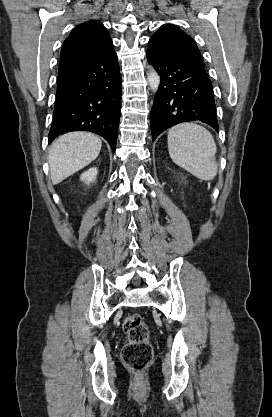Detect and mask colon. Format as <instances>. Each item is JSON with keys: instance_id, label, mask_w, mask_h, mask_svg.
<instances>
[{"instance_id": "colon-1", "label": "colon", "mask_w": 272, "mask_h": 417, "mask_svg": "<svg viewBox=\"0 0 272 417\" xmlns=\"http://www.w3.org/2000/svg\"><path fill=\"white\" fill-rule=\"evenodd\" d=\"M123 331L127 335V342L122 349V359L129 369L140 373L146 369L153 356L148 330L142 316H127L123 322Z\"/></svg>"}]
</instances>
